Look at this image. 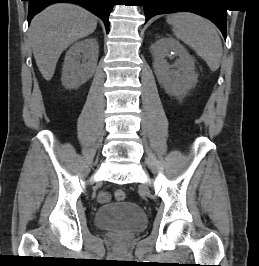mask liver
<instances>
[{
  "instance_id": "liver-1",
  "label": "liver",
  "mask_w": 259,
  "mask_h": 266,
  "mask_svg": "<svg viewBox=\"0 0 259 266\" xmlns=\"http://www.w3.org/2000/svg\"><path fill=\"white\" fill-rule=\"evenodd\" d=\"M96 27L97 17L77 5L54 4L36 15L30 24L29 39L44 79H52L61 53Z\"/></svg>"
}]
</instances>
